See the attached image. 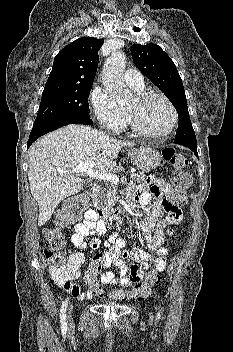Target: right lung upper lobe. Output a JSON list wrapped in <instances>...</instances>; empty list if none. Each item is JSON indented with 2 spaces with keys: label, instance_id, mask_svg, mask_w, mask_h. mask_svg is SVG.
Returning a JSON list of instances; mask_svg holds the SVG:
<instances>
[{
  "label": "right lung upper lobe",
  "instance_id": "cb5924a9",
  "mask_svg": "<svg viewBox=\"0 0 233 352\" xmlns=\"http://www.w3.org/2000/svg\"><path fill=\"white\" fill-rule=\"evenodd\" d=\"M103 42V39L83 37L65 46L54 59L45 88L92 85Z\"/></svg>",
  "mask_w": 233,
  "mask_h": 352
}]
</instances>
